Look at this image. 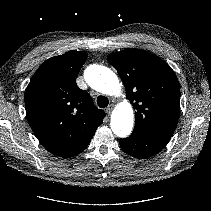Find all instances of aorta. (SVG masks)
<instances>
[{
	"label": "aorta",
	"instance_id": "obj_1",
	"mask_svg": "<svg viewBox=\"0 0 211 211\" xmlns=\"http://www.w3.org/2000/svg\"><path fill=\"white\" fill-rule=\"evenodd\" d=\"M86 82L95 90L108 95H117L121 89L118 77L107 67L93 64L84 73ZM134 113L128 101L121 102L111 116V129L121 138L127 137L133 128Z\"/></svg>",
	"mask_w": 211,
	"mask_h": 211
}]
</instances>
